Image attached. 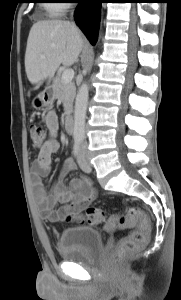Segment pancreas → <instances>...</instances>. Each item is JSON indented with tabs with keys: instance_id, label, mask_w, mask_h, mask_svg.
<instances>
[{
	"instance_id": "pancreas-1",
	"label": "pancreas",
	"mask_w": 181,
	"mask_h": 300,
	"mask_svg": "<svg viewBox=\"0 0 181 300\" xmlns=\"http://www.w3.org/2000/svg\"><path fill=\"white\" fill-rule=\"evenodd\" d=\"M53 91L55 98L63 102L64 113L69 115L72 111L73 101L76 94V87L74 83L65 84L58 75L53 82Z\"/></svg>"
}]
</instances>
